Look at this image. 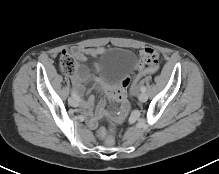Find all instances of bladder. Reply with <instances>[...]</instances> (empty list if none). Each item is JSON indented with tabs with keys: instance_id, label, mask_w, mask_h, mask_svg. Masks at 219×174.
Listing matches in <instances>:
<instances>
[{
	"instance_id": "bladder-1",
	"label": "bladder",
	"mask_w": 219,
	"mask_h": 174,
	"mask_svg": "<svg viewBox=\"0 0 219 174\" xmlns=\"http://www.w3.org/2000/svg\"><path fill=\"white\" fill-rule=\"evenodd\" d=\"M103 55V54H102ZM136 61L135 54L127 49L116 48L105 52L96 64V72L100 81L110 86L125 79Z\"/></svg>"
}]
</instances>
